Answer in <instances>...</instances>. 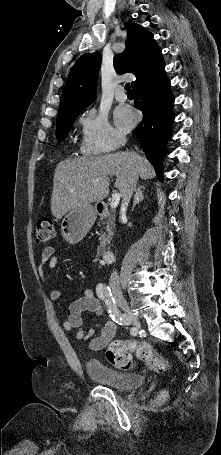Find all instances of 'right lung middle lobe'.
<instances>
[{
  "mask_svg": "<svg viewBox=\"0 0 221 455\" xmlns=\"http://www.w3.org/2000/svg\"><path fill=\"white\" fill-rule=\"evenodd\" d=\"M79 113L80 112L68 113L57 116L56 138L58 141H62L67 138L69 130Z\"/></svg>",
  "mask_w": 221,
  "mask_h": 455,
  "instance_id": "obj_1",
  "label": "right lung middle lobe"
}]
</instances>
